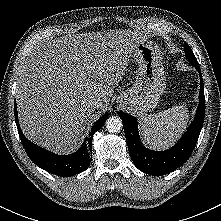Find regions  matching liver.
Listing matches in <instances>:
<instances>
[{
	"mask_svg": "<svg viewBox=\"0 0 221 221\" xmlns=\"http://www.w3.org/2000/svg\"><path fill=\"white\" fill-rule=\"evenodd\" d=\"M145 39L131 30L64 35L40 44L18 74L16 100L24 135L56 152L73 151L91 119L105 110L128 58Z\"/></svg>",
	"mask_w": 221,
	"mask_h": 221,
	"instance_id": "1",
	"label": "liver"
}]
</instances>
